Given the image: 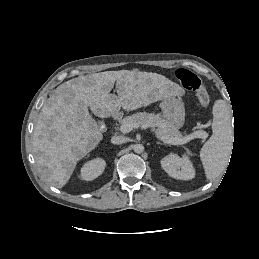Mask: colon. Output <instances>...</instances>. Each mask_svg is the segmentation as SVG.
Returning a JSON list of instances; mask_svg holds the SVG:
<instances>
[{
	"label": "colon",
	"mask_w": 259,
	"mask_h": 259,
	"mask_svg": "<svg viewBox=\"0 0 259 259\" xmlns=\"http://www.w3.org/2000/svg\"><path fill=\"white\" fill-rule=\"evenodd\" d=\"M176 77L182 84V86L190 91H193L198 99L199 104L206 108L210 104L209 93L204 86L201 79L192 71L181 68L176 72Z\"/></svg>",
	"instance_id": "5ec220e1"
}]
</instances>
